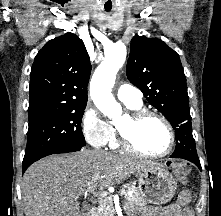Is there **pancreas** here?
<instances>
[{
    "label": "pancreas",
    "mask_w": 221,
    "mask_h": 216,
    "mask_svg": "<svg viewBox=\"0 0 221 216\" xmlns=\"http://www.w3.org/2000/svg\"><path fill=\"white\" fill-rule=\"evenodd\" d=\"M124 193V208L126 211H132L133 207L144 205L145 202L141 197L138 189L133 185H127ZM128 191H133L132 195H128ZM115 209L110 198H101L100 206L97 208L92 216H114Z\"/></svg>",
    "instance_id": "cf45deb5"
}]
</instances>
